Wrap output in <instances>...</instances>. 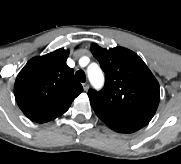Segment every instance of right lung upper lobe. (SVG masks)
<instances>
[{"mask_svg": "<svg viewBox=\"0 0 181 164\" xmlns=\"http://www.w3.org/2000/svg\"><path fill=\"white\" fill-rule=\"evenodd\" d=\"M68 56L69 50L58 49L34 57L18 74L14 95L30 120L44 123L62 115L83 91L73 79V69L66 64Z\"/></svg>", "mask_w": 181, "mask_h": 164, "instance_id": "obj_1", "label": "right lung upper lobe"}]
</instances>
